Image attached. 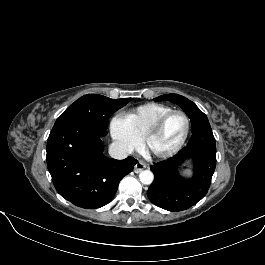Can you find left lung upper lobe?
Here are the masks:
<instances>
[{
  "instance_id": "5c2ea615",
  "label": "left lung upper lobe",
  "mask_w": 265,
  "mask_h": 265,
  "mask_svg": "<svg viewBox=\"0 0 265 265\" xmlns=\"http://www.w3.org/2000/svg\"><path fill=\"white\" fill-rule=\"evenodd\" d=\"M155 101L169 100L179 105L191 119L192 131L205 125H210L207 116L189 99L178 94H166L154 99Z\"/></svg>"
}]
</instances>
